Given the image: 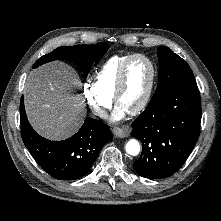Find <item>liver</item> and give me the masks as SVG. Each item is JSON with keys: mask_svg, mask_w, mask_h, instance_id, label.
Returning a JSON list of instances; mask_svg holds the SVG:
<instances>
[{"mask_svg": "<svg viewBox=\"0 0 221 221\" xmlns=\"http://www.w3.org/2000/svg\"><path fill=\"white\" fill-rule=\"evenodd\" d=\"M81 86L76 71L55 61L35 69L27 78L24 101L27 117L37 133L63 140L78 131L85 117V103L73 92Z\"/></svg>", "mask_w": 221, "mask_h": 221, "instance_id": "1", "label": "liver"}]
</instances>
